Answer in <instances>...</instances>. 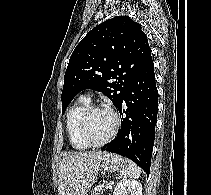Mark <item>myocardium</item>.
I'll list each match as a JSON object with an SVG mask.
<instances>
[{
    "label": "myocardium",
    "instance_id": "f54148a6",
    "mask_svg": "<svg viewBox=\"0 0 211 195\" xmlns=\"http://www.w3.org/2000/svg\"><path fill=\"white\" fill-rule=\"evenodd\" d=\"M98 110H105L108 111L112 114L113 118H114V126L112 131L110 132V134L103 140L99 141V142H91L88 140V138L85 135V125H86V121L88 119V117L95 111ZM121 126V119L119 114L111 107L106 106V105H89L81 114V116L79 117L78 120V126H77V131H78V135L80 137V139L82 140V142L88 146V147H101L105 144H107L108 142H110L115 135L117 134L119 128Z\"/></svg>",
    "mask_w": 211,
    "mask_h": 195
}]
</instances>
